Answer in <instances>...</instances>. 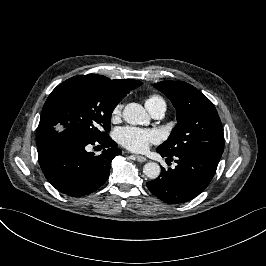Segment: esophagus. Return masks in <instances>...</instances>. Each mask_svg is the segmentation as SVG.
Segmentation results:
<instances>
[{"label":"esophagus","mask_w":266,"mask_h":266,"mask_svg":"<svg viewBox=\"0 0 266 266\" xmlns=\"http://www.w3.org/2000/svg\"><path fill=\"white\" fill-rule=\"evenodd\" d=\"M135 156V158H136V160L138 161V162H145V161H147V159H146V157H144V156H142V155H134Z\"/></svg>","instance_id":"esophagus-1"}]
</instances>
